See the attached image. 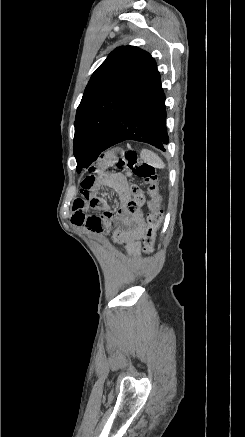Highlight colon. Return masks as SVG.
I'll use <instances>...</instances> for the list:
<instances>
[{
    "label": "colon",
    "mask_w": 245,
    "mask_h": 437,
    "mask_svg": "<svg viewBox=\"0 0 245 437\" xmlns=\"http://www.w3.org/2000/svg\"><path fill=\"white\" fill-rule=\"evenodd\" d=\"M120 169L126 170L128 173L134 174L148 185V194L151 197L148 203L149 213L147 215V228L143 239L145 251L151 253L154 249L157 231L162 220V210L159 204L157 193V173L153 166L139 159L137 153L132 150L123 152L121 158L117 162ZM146 203V198L143 190L138 186H133L129 196L127 206L129 210L135 211L143 207Z\"/></svg>",
    "instance_id": "obj_1"
}]
</instances>
